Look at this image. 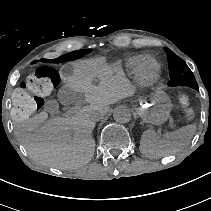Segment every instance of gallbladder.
<instances>
[{
	"label": "gallbladder",
	"mask_w": 211,
	"mask_h": 211,
	"mask_svg": "<svg viewBox=\"0 0 211 211\" xmlns=\"http://www.w3.org/2000/svg\"><path fill=\"white\" fill-rule=\"evenodd\" d=\"M58 101L62 105H70L73 103L74 105L79 106L83 103L84 96L79 91H74L68 86H63L58 91Z\"/></svg>",
	"instance_id": "1"
}]
</instances>
